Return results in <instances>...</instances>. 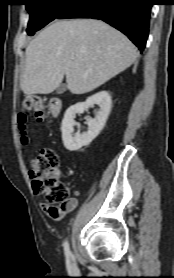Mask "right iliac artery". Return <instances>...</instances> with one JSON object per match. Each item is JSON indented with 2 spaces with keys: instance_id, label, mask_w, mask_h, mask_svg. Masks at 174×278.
I'll return each mask as SVG.
<instances>
[{
  "instance_id": "right-iliac-artery-1",
  "label": "right iliac artery",
  "mask_w": 174,
  "mask_h": 278,
  "mask_svg": "<svg viewBox=\"0 0 174 278\" xmlns=\"http://www.w3.org/2000/svg\"><path fill=\"white\" fill-rule=\"evenodd\" d=\"M63 246H64L65 256H66V258L68 259V258H70V257L72 256V253H71L70 248H69V243H68V241H65L64 244H63Z\"/></svg>"
}]
</instances>
